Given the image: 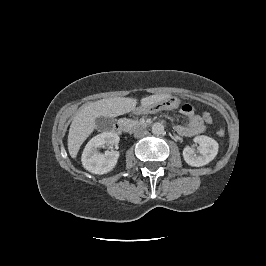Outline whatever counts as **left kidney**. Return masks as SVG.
Segmentation results:
<instances>
[{
	"label": "left kidney",
	"mask_w": 266,
	"mask_h": 266,
	"mask_svg": "<svg viewBox=\"0 0 266 266\" xmlns=\"http://www.w3.org/2000/svg\"><path fill=\"white\" fill-rule=\"evenodd\" d=\"M194 142L199 144V155L189 146L183 150L185 162L194 167H200L212 161L218 153V143L208 136H196Z\"/></svg>",
	"instance_id": "left-kidney-1"
}]
</instances>
